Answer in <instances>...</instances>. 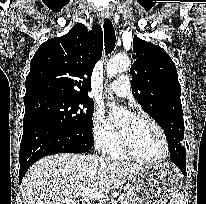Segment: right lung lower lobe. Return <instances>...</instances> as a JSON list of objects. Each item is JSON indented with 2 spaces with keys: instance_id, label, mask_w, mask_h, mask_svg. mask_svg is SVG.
Returning <instances> with one entry per match:
<instances>
[{
  "instance_id": "98d812e1",
  "label": "right lung lower lobe",
  "mask_w": 206,
  "mask_h": 204,
  "mask_svg": "<svg viewBox=\"0 0 206 204\" xmlns=\"http://www.w3.org/2000/svg\"><path fill=\"white\" fill-rule=\"evenodd\" d=\"M92 143L93 139H87L76 131L42 120H30L23 124L19 182L28 168L40 158L57 153H84L91 149Z\"/></svg>"
}]
</instances>
